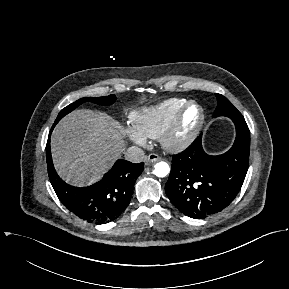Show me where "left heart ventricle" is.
Here are the masks:
<instances>
[{
	"label": "left heart ventricle",
	"mask_w": 289,
	"mask_h": 289,
	"mask_svg": "<svg viewBox=\"0 0 289 289\" xmlns=\"http://www.w3.org/2000/svg\"><path fill=\"white\" fill-rule=\"evenodd\" d=\"M198 109L194 106L190 107L187 111L186 117H185V131H187L189 128L193 126V124L196 122L198 118Z\"/></svg>",
	"instance_id": "obj_1"
}]
</instances>
